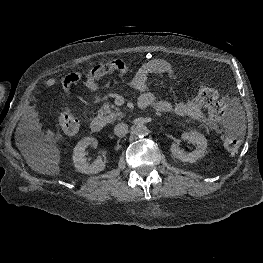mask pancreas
<instances>
[{"label":"pancreas","mask_w":263,"mask_h":263,"mask_svg":"<svg viewBox=\"0 0 263 263\" xmlns=\"http://www.w3.org/2000/svg\"><path fill=\"white\" fill-rule=\"evenodd\" d=\"M99 113L101 115H105V120L107 122H113L115 120H120L124 117L125 113L121 111L119 107H116L115 105H104L100 110Z\"/></svg>","instance_id":"obj_1"}]
</instances>
